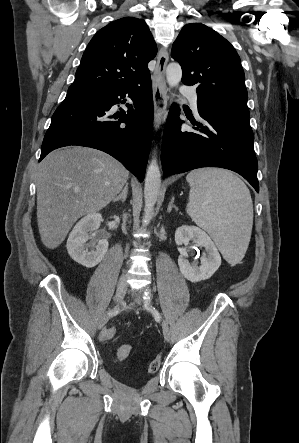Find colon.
I'll return each instance as SVG.
<instances>
[{
  "label": "colon",
  "mask_w": 299,
  "mask_h": 443,
  "mask_svg": "<svg viewBox=\"0 0 299 443\" xmlns=\"http://www.w3.org/2000/svg\"><path fill=\"white\" fill-rule=\"evenodd\" d=\"M116 329L114 327H110L105 329L101 334V341H109L116 335ZM132 353V347L130 345H123L118 350V359L120 361L127 360ZM161 366V357L159 355L155 356L148 366V371L150 373H155L159 370Z\"/></svg>",
  "instance_id": "5ec220e1"
}]
</instances>
